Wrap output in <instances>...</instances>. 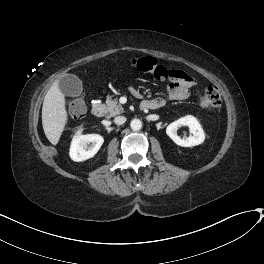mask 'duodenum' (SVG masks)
I'll return each instance as SVG.
<instances>
[{"label": "duodenum", "instance_id": "duodenum-1", "mask_svg": "<svg viewBox=\"0 0 264 264\" xmlns=\"http://www.w3.org/2000/svg\"><path fill=\"white\" fill-rule=\"evenodd\" d=\"M141 110H147L146 106H141ZM106 111L105 104L101 100H96L92 105V114L96 118L104 116Z\"/></svg>", "mask_w": 264, "mask_h": 264}]
</instances>
